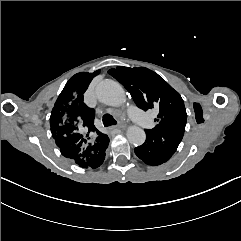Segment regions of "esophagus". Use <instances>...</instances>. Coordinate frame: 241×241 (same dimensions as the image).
<instances>
[{
	"label": "esophagus",
	"mask_w": 241,
	"mask_h": 241,
	"mask_svg": "<svg viewBox=\"0 0 241 241\" xmlns=\"http://www.w3.org/2000/svg\"><path fill=\"white\" fill-rule=\"evenodd\" d=\"M124 127H125L124 124H120V125L115 126V128H118V129H122V128H124Z\"/></svg>",
	"instance_id": "obj_1"
}]
</instances>
